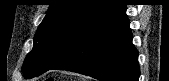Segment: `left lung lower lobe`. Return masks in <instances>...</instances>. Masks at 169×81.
I'll return each instance as SVG.
<instances>
[{"mask_svg": "<svg viewBox=\"0 0 169 81\" xmlns=\"http://www.w3.org/2000/svg\"><path fill=\"white\" fill-rule=\"evenodd\" d=\"M50 70L72 71L100 81H138V51L132 44L126 4L118 0L87 25Z\"/></svg>", "mask_w": 169, "mask_h": 81, "instance_id": "1", "label": "left lung lower lobe"}]
</instances>
